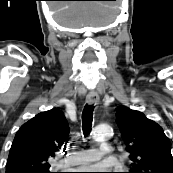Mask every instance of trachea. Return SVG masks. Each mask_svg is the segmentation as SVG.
Listing matches in <instances>:
<instances>
[{
  "mask_svg": "<svg viewBox=\"0 0 173 173\" xmlns=\"http://www.w3.org/2000/svg\"><path fill=\"white\" fill-rule=\"evenodd\" d=\"M93 105H85L82 112V130L84 136H88L91 132L93 121Z\"/></svg>",
  "mask_w": 173,
  "mask_h": 173,
  "instance_id": "trachea-1",
  "label": "trachea"
}]
</instances>
